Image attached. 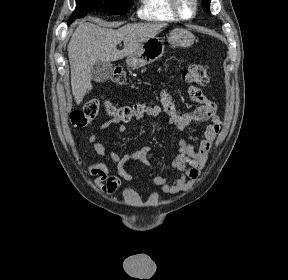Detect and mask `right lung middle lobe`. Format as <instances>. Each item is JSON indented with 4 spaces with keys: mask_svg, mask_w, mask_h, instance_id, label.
Returning <instances> with one entry per match:
<instances>
[{
    "mask_svg": "<svg viewBox=\"0 0 288 280\" xmlns=\"http://www.w3.org/2000/svg\"><path fill=\"white\" fill-rule=\"evenodd\" d=\"M132 0H76V9L69 21L81 18L92 11H104L124 15L128 12Z\"/></svg>",
    "mask_w": 288,
    "mask_h": 280,
    "instance_id": "dd1d6c3e",
    "label": "right lung middle lobe"
}]
</instances>
